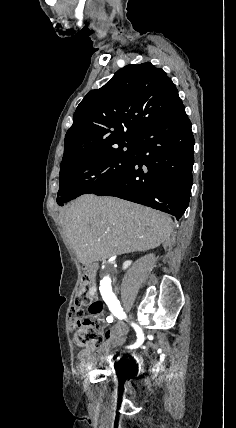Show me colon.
I'll list each match as a JSON object with an SVG mask.
<instances>
[{
  "label": "colon",
  "instance_id": "5ec220e1",
  "mask_svg": "<svg viewBox=\"0 0 236 428\" xmlns=\"http://www.w3.org/2000/svg\"><path fill=\"white\" fill-rule=\"evenodd\" d=\"M90 280L84 276L77 288L75 303L69 312L68 326L74 331L76 345L91 351L98 350L103 341L102 325L97 316L102 311L99 301L90 302L88 289ZM87 309L88 315L85 314Z\"/></svg>",
  "mask_w": 236,
  "mask_h": 428
}]
</instances>
